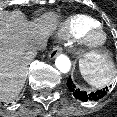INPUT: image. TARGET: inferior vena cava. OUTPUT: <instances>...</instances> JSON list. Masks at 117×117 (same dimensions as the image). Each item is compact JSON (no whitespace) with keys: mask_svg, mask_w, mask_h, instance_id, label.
Masks as SVG:
<instances>
[{"mask_svg":"<svg viewBox=\"0 0 117 117\" xmlns=\"http://www.w3.org/2000/svg\"><path fill=\"white\" fill-rule=\"evenodd\" d=\"M45 47H46V44H45V42H42V43H40L39 45H35V46H33L32 47V52L33 53H38L39 51H41V50H44L45 49Z\"/></svg>","mask_w":117,"mask_h":117,"instance_id":"inferior-vena-cava-1","label":"inferior vena cava"}]
</instances>
